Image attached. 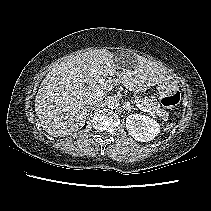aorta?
I'll return each mask as SVG.
<instances>
[{
  "instance_id": "aorta-1",
  "label": "aorta",
  "mask_w": 211,
  "mask_h": 211,
  "mask_svg": "<svg viewBox=\"0 0 211 211\" xmlns=\"http://www.w3.org/2000/svg\"><path fill=\"white\" fill-rule=\"evenodd\" d=\"M119 106V99L116 97H111L108 101V107L111 109H115Z\"/></svg>"
}]
</instances>
